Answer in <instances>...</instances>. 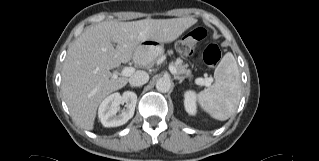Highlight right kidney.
I'll use <instances>...</instances> for the list:
<instances>
[{"instance_id":"right-kidney-1","label":"right kidney","mask_w":319,"mask_h":161,"mask_svg":"<svg viewBox=\"0 0 319 161\" xmlns=\"http://www.w3.org/2000/svg\"><path fill=\"white\" fill-rule=\"evenodd\" d=\"M137 95L132 91H125L122 95L113 93L106 97L99 106L98 116L105 127H117L125 124L134 115ZM125 104L120 113L119 105Z\"/></svg>"}]
</instances>
